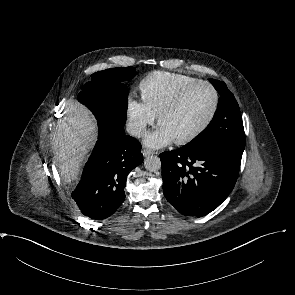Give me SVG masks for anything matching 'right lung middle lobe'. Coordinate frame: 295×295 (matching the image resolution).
<instances>
[{"mask_svg":"<svg viewBox=\"0 0 295 295\" xmlns=\"http://www.w3.org/2000/svg\"><path fill=\"white\" fill-rule=\"evenodd\" d=\"M134 67L111 68L92 74L78 95L97 121L124 125L127 117L128 89L122 83L135 76Z\"/></svg>","mask_w":295,"mask_h":295,"instance_id":"obj_1","label":"right lung middle lobe"}]
</instances>
